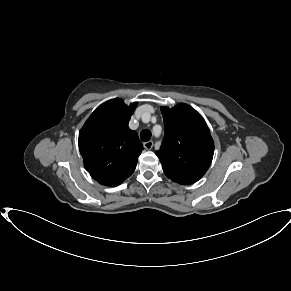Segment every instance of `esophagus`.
<instances>
[{
	"label": "esophagus",
	"mask_w": 291,
	"mask_h": 291,
	"mask_svg": "<svg viewBox=\"0 0 291 291\" xmlns=\"http://www.w3.org/2000/svg\"><path fill=\"white\" fill-rule=\"evenodd\" d=\"M143 146H144L145 149L150 150V149H152V147H153V141L145 142V143L143 144Z\"/></svg>",
	"instance_id": "1"
}]
</instances>
